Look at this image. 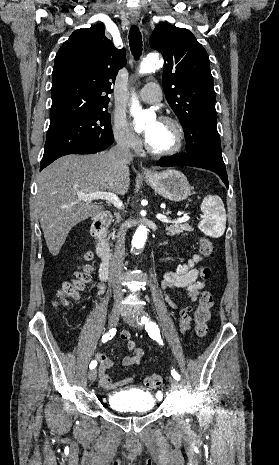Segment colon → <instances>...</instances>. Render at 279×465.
I'll list each match as a JSON object with an SVG mask.
<instances>
[{"mask_svg": "<svg viewBox=\"0 0 279 465\" xmlns=\"http://www.w3.org/2000/svg\"><path fill=\"white\" fill-rule=\"evenodd\" d=\"M215 251L214 244L207 238H201L199 241V252L204 257L211 256ZM91 259L90 253H85L82 258V264L78 267L71 279L62 282L58 290V303L66 305L71 300L79 298L81 293L86 289L91 281L92 268L88 264ZM210 276L209 268H204L201 272V278L207 279ZM213 305V296L209 291H202L198 296V307L194 312L195 333L197 337L204 338L208 332L207 322L210 318V308ZM164 383V378L159 374H151L146 379V384L150 388H159Z\"/></svg>", "mask_w": 279, "mask_h": 465, "instance_id": "1", "label": "colon"}]
</instances>
